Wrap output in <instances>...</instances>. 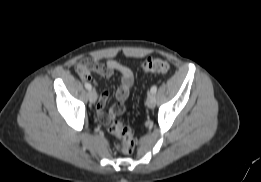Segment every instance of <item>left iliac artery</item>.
I'll list each match as a JSON object with an SVG mask.
<instances>
[{
  "instance_id": "obj_1",
  "label": "left iliac artery",
  "mask_w": 261,
  "mask_h": 182,
  "mask_svg": "<svg viewBox=\"0 0 261 182\" xmlns=\"http://www.w3.org/2000/svg\"><path fill=\"white\" fill-rule=\"evenodd\" d=\"M156 91H157V86H152L151 87V93H156Z\"/></svg>"
}]
</instances>
